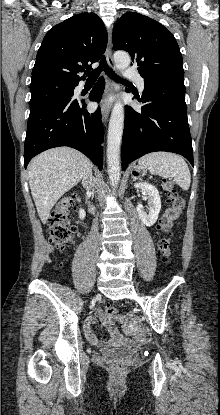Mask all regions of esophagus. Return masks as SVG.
Segmentation results:
<instances>
[{
    "label": "esophagus",
    "mask_w": 220,
    "mask_h": 415,
    "mask_svg": "<svg viewBox=\"0 0 220 415\" xmlns=\"http://www.w3.org/2000/svg\"><path fill=\"white\" fill-rule=\"evenodd\" d=\"M105 57H106V61H107L108 65L111 68H115L114 61H113V58H112V31H111V29L109 30V34H108V44H107V49H106V52H105ZM116 90H117V85L114 82L109 80L108 83H107L106 94L107 95L112 94ZM110 107H111L110 104H104L103 105V107H102V119H103V121L107 120V118L109 116V113H110Z\"/></svg>",
    "instance_id": "esophagus-1"
}]
</instances>
